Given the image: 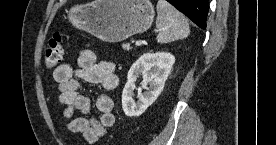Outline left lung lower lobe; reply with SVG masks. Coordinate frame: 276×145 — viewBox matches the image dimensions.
Here are the masks:
<instances>
[{"instance_id":"obj_1","label":"left lung lower lobe","mask_w":276,"mask_h":145,"mask_svg":"<svg viewBox=\"0 0 276 145\" xmlns=\"http://www.w3.org/2000/svg\"><path fill=\"white\" fill-rule=\"evenodd\" d=\"M200 28H206L208 0H167Z\"/></svg>"}]
</instances>
